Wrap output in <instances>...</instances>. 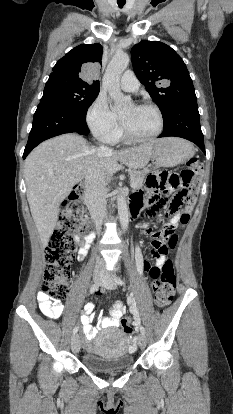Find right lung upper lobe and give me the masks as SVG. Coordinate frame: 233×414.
<instances>
[{
	"instance_id": "right-lung-upper-lobe-1",
	"label": "right lung upper lobe",
	"mask_w": 233,
	"mask_h": 414,
	"mask_svg": "<svg viewBox=\"0 0 233 414\" xmlns=\"http://www.w3.org/2000/svg\"><path fill=\"white\" fill-rule=\"evenodd\" d=\"M102 46L100 44H82L69 51L53 67L49 78H64L67 80L100 86L99 81H87L82 79L86 65L92 63L101 64Z\"/></svg>"
}]
</instances>
